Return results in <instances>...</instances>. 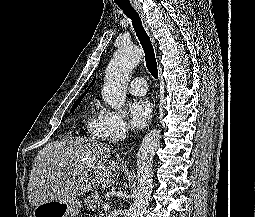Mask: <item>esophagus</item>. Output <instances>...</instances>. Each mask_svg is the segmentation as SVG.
<instances>
[{"mask_svg": "<svg viewBox=\"0 0 255 217\" xmlns=\"http://www.w3.org/2000/svg\"><path fill=\"white\" fill-rule=\"evenodd\" d=\"M132 6L136 10V12L139 14V16L141 17L143 25H144L148 35L150 36L154 47H156L155 39L152 36V30L150 28L149 23L147 22L146 15H145V13L142 10L141 4L139 2H137V1H134V2H132Z\"/></svg>", "mask_w": 255, "mask_h": 217, "instance_id": "obj_1", "label": "esophagus"}]
</instances>
